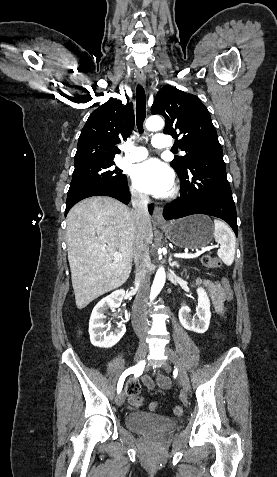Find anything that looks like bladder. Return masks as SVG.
<instances>
[{
	"label": "bladder",
	"mask_w": 277,
	"mask_h": 477,
	"mask_svg": "<svg viewBox=\"0 0 277 477\" xmlns=\"http://www.w3.org/2000/svg\"><path fill=\"white\" fill-rule=\"evenodd\" d=\"M127 427L142 434H160L172 430L177 422L165 416L148 412H131L125 418Z\"/></svg>",
	"instance_id": "obj_1"
}]
</instances>
